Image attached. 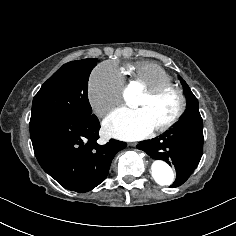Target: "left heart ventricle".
<instances>
[{
  "label": "left heart ventricle",
  "instance_id": "1",
  "mask_svg": "<svg viewBox=\"0 0 236 236\" xmlns=\"http://www.w3.org/2000/svg\"><path fill=\"white\" fill-rule=\"evenodd\" d=\"M129 100L133 107L146 111L154 129L166 123L177 109V98L172 93H167L154 101L148 100L144 94Z\"/></svg>",
  "mask_w": 236,
  "mask_h": 236
}]
</instances>
